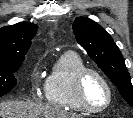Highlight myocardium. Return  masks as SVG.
<instances>
[{"label":"myocardium","instance_id":"f54148a6","mask_svg":"<svg viewBox=\"0 0 133 118\" xmlns=\"http://www.w3.org/2000/svg\"><path fill=\"white\" fill-rule=\"evenodd\" d=\"M90 74H94L98 78H100L104 83V85L106 86V89L108 92L107 102L104 106L100 108H94L90 106V104L87 102V99L85 97V81ZM75 95H76L77 101L85 111L92 114H97V113H102L106 111L111 106L114 98V91L109 79L100 70L91 68V67H86L85 69L79 72L76 78Z\"/></svg>","mask_w":133,"mask_h":118}]
</instances>
